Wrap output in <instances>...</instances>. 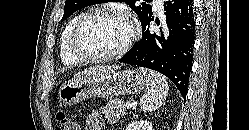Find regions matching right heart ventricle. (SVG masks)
I'll return each mask as SVG.
<instances>
[{
  "label": "right heart ventricle",
  "mask_w": 249,
  "mask_h": 130,
  "mask_svg": "<svg viewBox=\"0 0 249 130\" xmlns=\"http://www.w3.org/2000/svg\"><path fill=\"white\" fill-rule=\"evenodd\" d=\"M85 14V12H80L73 16L65 25L59 41V51L61 61L65 65H76L79 63V59H77L70 51V39L73 32V29L78 22V20Z\"/></svg>",
  "instance_id": "e07e8e85"
}]
</instances>
